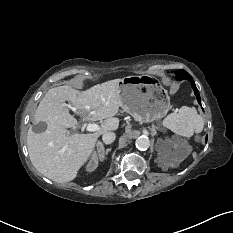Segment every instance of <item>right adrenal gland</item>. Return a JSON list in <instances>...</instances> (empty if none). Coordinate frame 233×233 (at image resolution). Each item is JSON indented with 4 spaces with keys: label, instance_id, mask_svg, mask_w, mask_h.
I'll list each match as a JSON object with an SVG mask.
<instances>
[{
    "label": "right adrenal gland",
    "instance_id": "2a0ac1e0",
    "mask_svg": "<svg viewBox=\"0 0 233 233\" xmlns=\"http://www.w3.org/2000/svg\"><path fill=\"white\" fill-rule=\"evenodd\" d=\"M102 146H103V144L100 143V147H102ZM110 151H111V148L106 149V150L103 152V155L108 154V152H110Z\"/></svg>",
    "mask_w": 233,
    "mask_h": 233
}]
</instances>
